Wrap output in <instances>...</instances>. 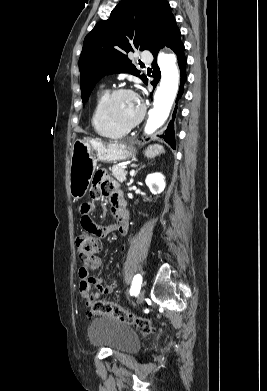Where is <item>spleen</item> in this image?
I'll list each match as a JSON object with an SVG mask.
<instances>
[{
    "mask_svg": "<svg viewBox=\"0 0 267 391\" xmlns=\"http://www.w3.org/2000/svg\"><path fill=\"white\" fill-rule=\"evenodd\" d=\"M164 148L163 146L161 145H158V144H154V145H150L147 147V149L145 150L144 152V155L147 157V158H154L156 156H158L159 154H162L164 153Z\"/></svg>",
    "mask_w": 267,
    "mask_h": 391,
    "instance_id": "obj_1",
    "label": "spleen"
}]
</instances>
